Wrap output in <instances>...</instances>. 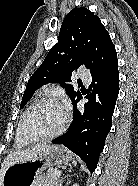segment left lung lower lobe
<instances>
[{
  "label": "left lung lower lobe",
  "instance_id": "left-lung-lower-lobe-1",
  "mask_svg": "<svg viewBox=\"0 0 138 186\" xmlns=\"http://www.w3.org/2000/svg\"><path fill=\"white\" fill-rule=\"evenodd\" d=\"M119 93L118 60L92 75V83L87 90L84 112L77 109L81 93L72 102L74 116L68 132L52 140L63 144L77 154L93 172L99 155L112 125L116 99Z\"/></svg>",
  "mask_w": 138,
  "mask_h": 186
}]
</instances>
